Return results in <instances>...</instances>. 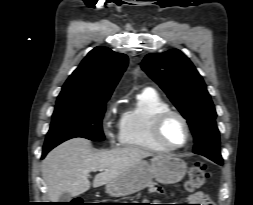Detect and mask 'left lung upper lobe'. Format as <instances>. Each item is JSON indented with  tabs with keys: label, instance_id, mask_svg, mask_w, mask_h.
Instances as JSON below:
<instances>
[{
	"label": "left lung upper lobe",
	"instance_id": "left-lung-upper-lobe-1",
	"mask_svg": "<svg viewBox=\"0 0 253 205\" xmlns=\"http://www.w3.org/2000/svg\"><path fill=\"white\" fill-rule=\"evenodd\" d=\"M142 69L168 95L190 125L194 136V153L218 164L220 154L216 111L206 85L192 62L179 50L147 55Z\"/></svg>",
	"mask_w": 253,
	"mask_h": 205
}]
</instances>
